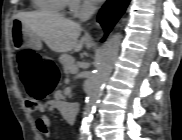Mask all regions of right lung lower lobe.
<instances>
[{"label":"right lung lower lobe","mask_w":182,"mask_h":140,"mask_svg":"<svg viewBox=\"0 0 182 140\" xmlns=\"http://www.w3.org/2000/svg\"><path fill=\"white\" fill-rule=\"evenodd\" d=\"M130 0H108L101 8L98 22L104 28L106 35L112 30L118 19L125 12ZM104 41V39L102 40Z\"/></svg>","instance_id":"98d812e1"}]
</instances>
